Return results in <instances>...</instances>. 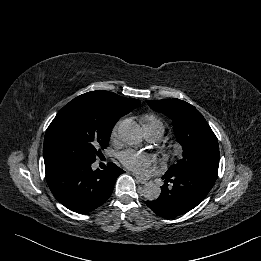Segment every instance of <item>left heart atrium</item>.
<instances>
[{"label":"left heart atrium","mask_w":261,"mask_h":261,"mask_svg":"<svg viewBox=\"0 0 261 261\" xmlns=\"http://www.w3.org/2000/svg\"><path fill=\"white\" fill-rule=\"evenodd\" d=\"M119 159L126 168L138 173L143 172L152 162L150 155L134 150L123 151L119 155Z\"/></svg>","instance_id":"obj_1"}]
</instances>
